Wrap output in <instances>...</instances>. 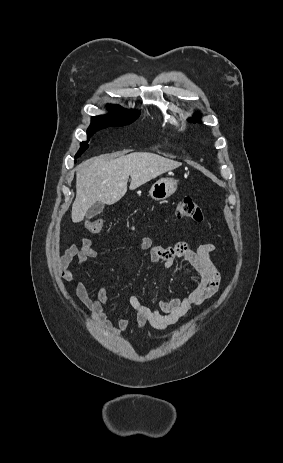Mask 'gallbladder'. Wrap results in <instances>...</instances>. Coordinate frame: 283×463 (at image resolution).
<instances>
[{"instance_id": "obj_1", "label": "gallbladder", "mask_w": 283, "mask_h": 463, "mask_svg": "<svg viewBox=\"0 0 283 463\" xmlns=\"http://www.w3.org/2000/svg\"><path fill=\"white\" fill-rule=\"evenodd\" d=\"M104 210V204L101 203V202H97L95 204H93L90 209L87 211L86 213V218L87 219H91L95 216H97L98 214H101Z\"/></svg>"}]
</instances>
